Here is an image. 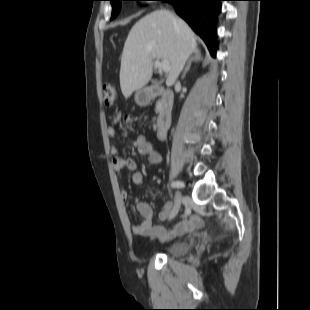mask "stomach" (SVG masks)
Listing matches in <instances>:
<instances>
[{
	"instance_id": "obj_1",
	"label": "stomach",
	"mask_w": 310,
	"mask_h": 310,
	"mask_svg": "<svg viewBox=\"0 0 310 310\" xmlns=\"http://www.w3.org/2000/svg\"><path fill=\"white\" fill-rule=\"evenodd\" d=\"M143 91L139 90L135 94V99L139 104H145L146 100L142 98Z\"/></svg>"
}]
</instances>
